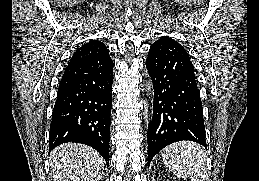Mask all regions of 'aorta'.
Returning a JSON list of instances; mask_svg holds the SVG:
<instances>
[{
  "label": "aorta",
  "mask_w": 259,
  "mask_h": 181,
  "mask_svg": "<svg viewBox=\"0 0 259 181\" xmlns=\"http://www.w3.org/2000/svg\"><path fill=\"white\" fill-rule=\"evenodd\" d=\"M147 91L151 92V87L149 86V83L147 84ZM149 95H150V93H149Z\"/></svg>",
  "instance_id": "aorta-1"
}]
</instances>
